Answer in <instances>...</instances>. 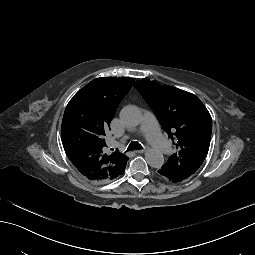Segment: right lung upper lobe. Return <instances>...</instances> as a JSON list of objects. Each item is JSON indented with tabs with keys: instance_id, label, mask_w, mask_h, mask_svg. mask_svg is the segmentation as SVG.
Returning <instances> with one entry per match:
<instances>
[{
	"instance_id": "1",
	"label": "right lung upper lobe",
	"mask_w": 255,
	"mask_h": 255,
	"mask_svg": "<svg viewBox=\"0 0 255 255\" xmlns=\"http://www.w3.org/2000/svg\"><path fill=\"white\" fill-rule=\"evenodd\" d=\"M132 78H97L79 90L68 103L61 128L64 150L88 180L106 183L124 173L128 157L107 150L105 136Z\"/></svg>"
}]
</instances>
